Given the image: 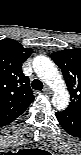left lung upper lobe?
I'll list each match as a JSON object with an SVG mask.
<instances>
[{
    "instance_id": "obj_1",
    "label": "left lung upper lobe",
    "mask_w": 81,
    "mask_h": 155,
    "mask_svg": "<svg viewBox=\"0 0 81 155\" xmlns=\"http://www.w3.org/2000/svg\"><path fill=\"white\" fill-rule=\"evenodd\" d=\"M53 61L62 70L68 90L71 95V103L66 111L74 115H81V58L78 49H65L52 54Z\"/></svg>"
}]
</instances>
